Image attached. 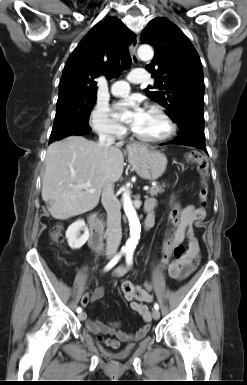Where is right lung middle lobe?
<instances>
[{
	"mask_svg": "<svg viewBox=\"0 0 247 385\" xmlns=\"http://www.w3.org/2000/svg\"><path fill=\"white\" fill-rule=\"evenodd\" d=\"M95 102L96 94L78 92L59 94L52 131L73 124L88 125Z\"/></svg>",
	"mask_w": 247,
	"mask_h": 385,
	"instance_id": "dd1d6c3e",
	"label": "right lung middle lobe"
}]
</instances>
